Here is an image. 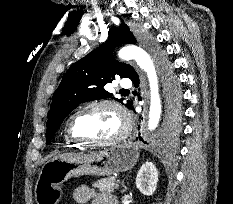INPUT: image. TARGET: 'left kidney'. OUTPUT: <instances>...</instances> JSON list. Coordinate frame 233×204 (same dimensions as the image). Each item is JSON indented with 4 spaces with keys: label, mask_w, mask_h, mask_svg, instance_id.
Wrapping results in <instances>:
<instances>
[{
    "label": "left kidney",
    "mask_w": 233,
    "mask_h": 204,
    "mask_svg": "<svg viewBox=\"0 0 233 204\" xmlns=\"http://www.w3.org/2000/svg\"><path fill=\"white\" fill-rule=\"evenodd\" d=\"M158 171L152 162L144 163L138 171L136 186L143 195L150 196L156 191Z\"/></svg>",
    "instance_id": "5707ae66"
}]
</instances>
